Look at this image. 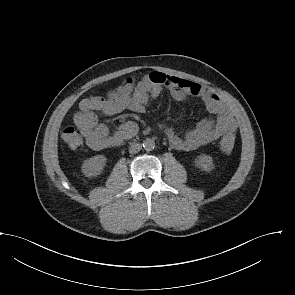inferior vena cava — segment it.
Listing matches in <instances>:
<instances>
[{"label": "inferior vena cava", "mask_w": 295, "mask_h": 295, "mask_svg": "<svg viewBox=\"0 0 295 295\" xmlns=\"http://www.w3.org/2000/svg\"><path fill=\"white\" fill-rule=\"evenodd\" d=\"M142 146L139 143H132L129 147V152L136 154L141 150Z\"/></svg>", "instance_id": "1"}]
</instances>
